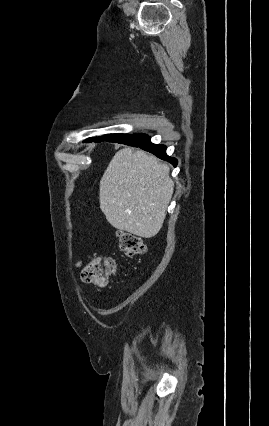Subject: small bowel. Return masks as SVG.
Listing matches in <instances>:
<instances>
[{"label":"small bowel","instance_id":"c3829d8e","mask_svg":"<svg viewBox=\"0 0 269 426\" xmlns=\"http://www.w3.org/2000/svg\"><path fill=\"white\" fill-rule=\"evenodd\" d=\"M82 265V260L78 259L75 263H74V267L75 268H79ZM77 282L81 285V286H85L83 284V282L80 279H77Z\"/></svg>","mask_w":269,"mask_h":426}]
</instances>
